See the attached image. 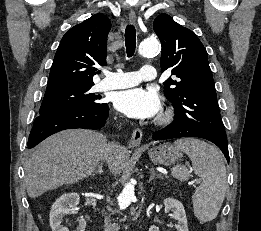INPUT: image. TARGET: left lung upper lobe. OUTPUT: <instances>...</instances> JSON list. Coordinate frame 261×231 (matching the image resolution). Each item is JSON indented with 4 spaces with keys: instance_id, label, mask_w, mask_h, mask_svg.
<instances>
[{
    "instance_id": "1",
    "label": "left lung upper lobe",
    "mask_w": 261,
    "mask_h": 231,
    "mask_svg": "<svg viewBox=\"0 0 261 231\" xmlns=\"http://www.w3.org/2000/svg\"><path fill=\"white\" fill-rule=\"evenodd\" d=\"M153 27L162 44L161 69L172 70L177 77L164 82L174 120H182L212 138L227 140L205 47L193 31L168 14L157 16Z\"/></svg>"
}]
</instances>
